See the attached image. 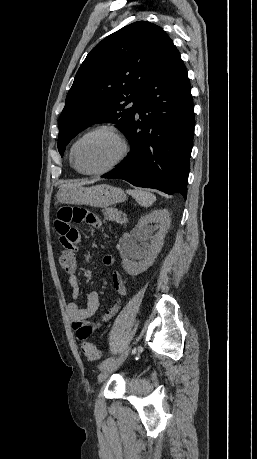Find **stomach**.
Returning a JSON list of instances; mask_svg holds the SVG:
<instances>
[{"mask_svg":"<svg viewBox=\"0 0 257 459\" xmlns=\"http://www.w3.org/2000/svg\"><path fill=\"white\" fill-rule=\"evenodd\" d=\"M57 199L61 203L86 204L93 207L105 208L124 201L126 195L121 188L108 184H100L91 187L76 186L61 188L57 194Z\"/></svg>","mask_w":257,"mask_h":459,"instance_id":"1","label":"stomach"}]
</instances>
